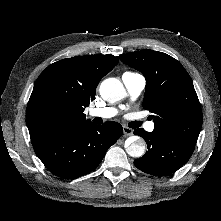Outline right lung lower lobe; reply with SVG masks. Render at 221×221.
<instances>
[{"instance_id":"1","label":"right lung lower lobe","mask_w":221,"mask_h":221,"mask_svg":"<svg viewBox=\"0 0 221 221\" xmlns=\"http://www.w3.org/2000/svg\"><path fill=\"white\" fill-rule=\"evenodd\" d=\"M122 133L117 122L108 121L102 126L88 122L56 129L32 144L51 173L71 179L95 169Z\"/></svg>"}]
</instances>
